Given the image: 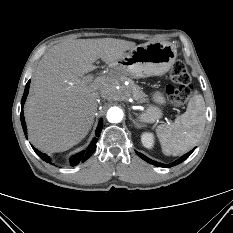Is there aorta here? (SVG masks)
I'll return each mask as SVG.
<instances>
[{
  "mask_svg": "<svg viewBox=\"0 0 233 233\" xmlns=\"http://www.w3.org/2000/svg\"><path fill=\"white\" fill-rule=\"evenodd\" d=\"M107 119L111 123H119L123 119V112L118 107H111L107 112Z\"/></svg>",
  "mask_w": 233,
  "mask_h": 233,
  "instance_id": "obj_1",
  "label": "aorta"
}]
</instances>
